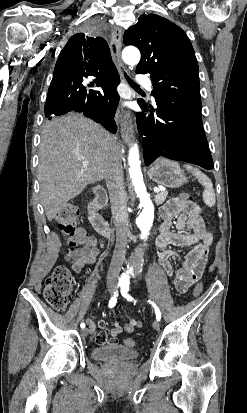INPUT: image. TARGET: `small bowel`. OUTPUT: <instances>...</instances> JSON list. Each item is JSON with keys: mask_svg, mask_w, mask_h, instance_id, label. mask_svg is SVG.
Returning <instances> with one entry per match:
<instances>
[{"mask_svg": "<svg viewBox=\"0 0 247 413\" xmlns=\"http://www.w3.org/2000/svg\"><path fill=\"white\" fill-rule=\"evenodd\" d=\"M161 214L163 222L156 240L158 263L171 277L175 289L179 292H185L190 285L202 277L209 246L205 243V239L211 233L207 230L201 217L200 207L195 203H174L172 201L162 208ZM174 226L180 231L187 230L188 232H174L172 230ZM170 245L191 247L182 262V266L177 271L173 270L170 262V259L174 256V253L169 250ZM99 255L98 248L84 247L70 252L66 256V261L71 264L73 272L79 274L85 265L95 263ZM100 323H104L105 326V321L100 320L98 322L99 327ZM88 324L90 331L93 332L94 324L91 321ZM140 326L141 322L136 318H130L125 325L115 320L111 334L107 329H100L95 336V341L105 343L108 340V348L116 349L118 346L117 336L124 332H133L135 328Z\"/></svg>", "mask_w": 247, "mask_h": 413, "instance_id": "1", "label": "small bowel"}]
</instances>
